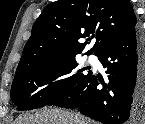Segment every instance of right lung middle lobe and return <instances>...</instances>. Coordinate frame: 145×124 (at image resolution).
Instances as JSON below:
<instances>
[{"mask_svg":"<svg viewBox=\"0 0 145 124\" xmlns=\"http://www.w3.org/2000/svg\"><path fill=\"white\" fill-rule=\"evenodd\" d=\"M77 66L75 56H71L46 60L29 68L14 77L11 89L13 103L18 110H32L47 105L90 75L91 71L87 75L81 73L84 68L52 83L60 76L73 73Z\"/></svg>","mask_w":145,"mask_h":124,"instance_id":"dd1d6c3e","label":"right lung middle lobe"}]
</instances>
